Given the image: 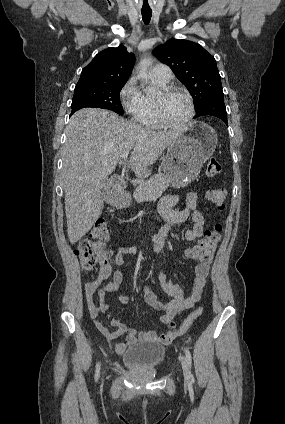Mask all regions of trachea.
Segmentation results:
<instances>
[{"label":"trachea","mask_w":285,"mask_h":424,"mask_svg":"<svg viewBox=\"0 0 285 424\" xmlns=\"http://www.w3.org/2000/svg\"><path fill=\"white\" fill-rule=\"evenodd\" d=\"M141 13H142V17H143V22H144L146 25H148V24H149V22H150V20H151V17H152V11H151V10H148V11H141Z\"/></svg>","instance_id":"obj_1"}]
</instances>
